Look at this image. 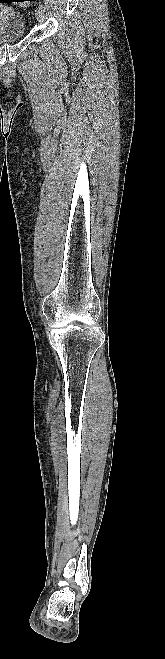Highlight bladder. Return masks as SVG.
Here are the masks:
<instances>
[{
  "label": "bladder",
  "mask_w": 165,
  "mask_h": 659,
  "mask_svg": "<svg viewBox=\"0 0 165 659\" xmlns=\"http://www.w3.org/2000/svg\"><path fill=\"white\" fill-rule=\"evenodd\" d=\"M25 36V24L14 10L0 6V42Z\"/></svg>",
  "instance_id": "31cf9c89"
}]
</instances>
